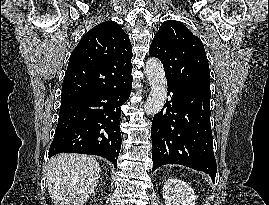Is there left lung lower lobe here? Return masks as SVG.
<instances>
[{"label":"left lung lower lobe","mask_w":269,"mask_h":205,"mask_svg":"<svg viewBox=\"0 0 269 205\" xmlns=\"http://www.w3.org/2000/svg\"><path fill=\"white\" fill-rule=\"evenodd\" d=\"M168 84L170 101L152 121L153 170L180 164L215 180L209 87Z\"/></svg>","instance_id":"1"}]
</instances>
